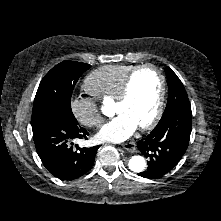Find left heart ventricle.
<instances>
[{
	"label": "left heart ventricle",
	"mask_w": 221,
	"mask_h": 221,
	"mask_svg": "<svg viewBox=\"0 0 221 221\" xmlns=\"http://www.w3.org/2000/svg\"><path fill=\"white\" fill-rule=\"evenodd\" d=\"M160 85V78L154 70L141 71L133 80L129 98L124 103L115 104L113 111L126 114L138 126L147 123L156 111Z\"/></svg>",
	"instance_id": "left-heart-ventricle-1"
}]
</instances>
